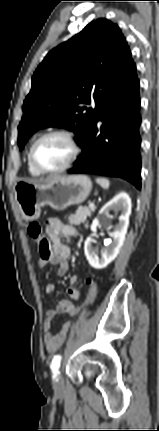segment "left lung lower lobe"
<instances>
[{"mask_svg":"<svg viewBox=\"0 0 159 431\" xmlns=\"http://www.w3.org/2000/svg\"><path fill=\"white\" fill-rule=\"evenodd\" d=\"M100 122V123H99ZM139 79L133 62L99 106L68 173L123 178L141 188Z\"/></svg>","mask_w":159,"mask_h":431,"instance_id":"1","label":"left lung lower lobe"}]
</instances>
